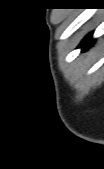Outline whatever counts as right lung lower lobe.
<instances>
[{
    "label": "right lung lower lobe",
    "instance_id": "1",
    "mask_svg": "<svg viewBox=\"0 0 104 169\" xmlns=\"http://www.w3.org/2000/svg\"><path fill=\"white\" fill-rule=\"evenodd\" d=\"M92 34L93 33H90L88 36H86L79 45V47H82L83 51L87 50L89 46L93 44L94 40L92 39Z\"/></svg>",
    "mask_w": 104,
    "mask_h": 169
}]
</instances>
